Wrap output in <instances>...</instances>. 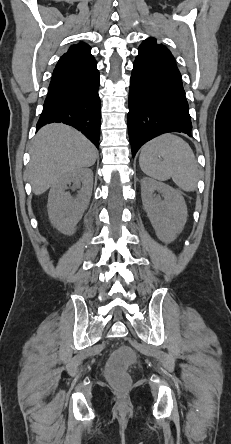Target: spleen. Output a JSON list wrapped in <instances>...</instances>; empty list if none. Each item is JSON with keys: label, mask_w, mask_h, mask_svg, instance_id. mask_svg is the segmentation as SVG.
<instances>
[{"label": "spleen", "mask_w": 231, "mask_h": 444, "mask_svg": "<svg viewBox=\"0 0 231 444\" xmlns=\"http://www.w3.org/2000/svg\"><path fill=\"white\" fill-rule=\"evenodd\" d=\"M141 170L159 181L172 178L183 191L197 188L199 168L194 153L182 138L166 134L147 142L139 156Z\"/></svg>", "instance_id": "3e777b00"}]
</instances>
